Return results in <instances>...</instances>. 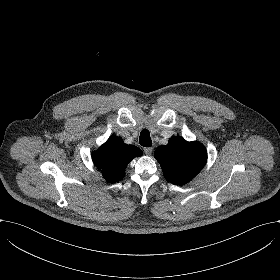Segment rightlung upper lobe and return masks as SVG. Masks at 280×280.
<instances>
[{
  "label": "right lung upper lobe",
  "instance_id": "right-lung-upper-lobe-1",
  "mask_svg": "<svg viewBox=\"0 0 280 280\" xmlns=\"http://www.w3.org/2000/svg\"><path fill=\"white\" fill-rule=\"evenodd\" d=\"M142 151L133 145H126L120 137L112 135L105 144L92 154L93 162L107 182L123 179L127 164Z\"/></svg>",
  "mask_w": 280,
  "mask_h": 280
}]
</instances>
